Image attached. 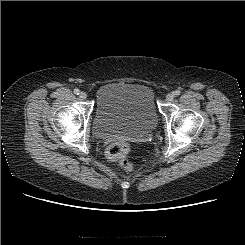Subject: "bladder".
<instances>
[{"label":"bladder","mask_w":245,"mask_h":245,"mask_svg":"<svg viewBox=\"0 0 245 245\" xmlns=\"http://www.w3.org/2000/svg\"><path fill=\"white\" fill-rule=\"evenodd\" d=\"M153 90L143 84L110 82L96 93L93 129L99 138H140L157 126Z\"/></svg>","instance_id":"obj_1"}]
</instances>
